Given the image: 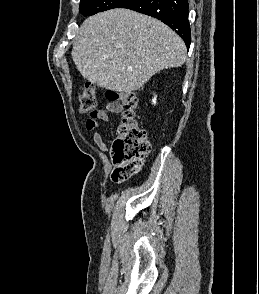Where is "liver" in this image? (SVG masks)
Wrapping results in <instances>:
<instances>
[{"label":"liver","mask_w":259,"mask_h":294,"mask_svg":"<svg viewBox=\"0 0 259 294\" xmlns=\"http://www.w3.org/2000/svg\"><path fill=\"white\" fill-rule=\"evenodd\" d=\"M186 54L183 40L164 23L121 8L86 19L72 49L85 79L126 93L140 89L163 69L181 67Z\"/></svg>","instance_id":"6515ba94"}]
</instances>
